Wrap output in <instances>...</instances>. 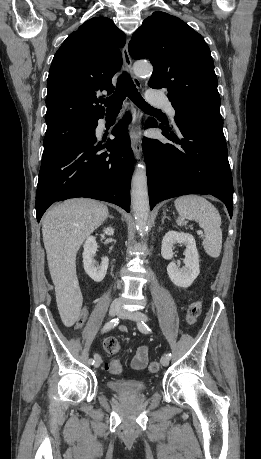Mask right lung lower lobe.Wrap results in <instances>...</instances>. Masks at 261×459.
Here are the masks:
<instances>
[{
	"label": "right lung lower lobe",
	"mask_w": 261,
	"mask_h": 459,
	"mask_svg": "<svg viewBox=\"0 0 261 459\" xmlns=\"http://www.w3.org/2000/svg\"><path fill=\"white\" fill-rule=\"evenodd\" d=\"M129 121L127 114L113 129L116 138L105 144L94 136L42 160L36 193L38 222L52 203L75 197L107 201L130 211L134 159L126 131ZM105 147L110 153L101 152Z\"/></svg>",
	"instance_id": "right-lung-lower-lobe-1"
}]
</instances>
